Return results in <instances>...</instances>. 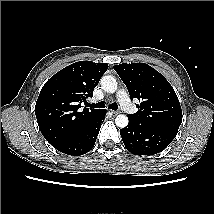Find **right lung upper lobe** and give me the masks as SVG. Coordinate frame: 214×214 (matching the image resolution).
<instances>
[{
	"label": "right lung upper lobe",
	"mask_w": 214,
	"mask_h": 214,
	"mask_svg": "<svg viewBox=\"0 0 214 214\" xmlns=\"http://www.w3.org/2000/svg\"><path fill=\"white\" fill-rule=\"evenodd\" d=\"M108 69L107 64L80 61L52 76L43 86L35 106L39 129L57 148L69 141L100 109L81 108Z\"/></svg>",
	"instance_id": "cb5924a9"
}]
</instances>
